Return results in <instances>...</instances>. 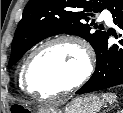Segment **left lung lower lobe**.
I'll return each instance as SVG.
<instances>
[{
	"label": "left lung lower lobe",
	"mask_w": 123,
	"mask_h": 113,
	"mask_svg": "<svg viewBox=\"0 0 123 113\" xmlns=\"http://www.w3.org/2000/svg\"><path fill=\"white\" fill-rule=\"evenodd\" d=\"M107 9L120 28L117 44H108L105 37L96 52V69L88 82L76 94L89 93L123 84V0H110Z\"/></svg>",
	"instance_id": "1"
}]
</instances>
